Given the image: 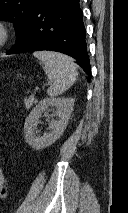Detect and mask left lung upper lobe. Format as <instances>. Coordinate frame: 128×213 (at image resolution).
Listing matches in <instances>:
<instances>
[{"instance_id":"obj_1","label":"left lung upper lobe","mask_w":128,"mask_h":213,"mask_svg":"<svg viewBox=\"0 0 128 213\" xmlns=\"http://www.w3.org/2000/svg\"><path fill=\"white\" fill-rule=\"evenodd\" d=\"M38 0H0V20L14 23L18 37L27 24Z\"/></svg>"}]
</instances>
